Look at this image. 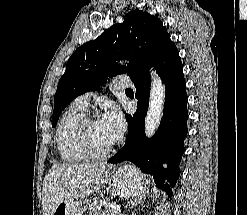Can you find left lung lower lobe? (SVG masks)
Instances as JSON below:
<instances>
[{
    "label": "left lung lower lobe",
    "instance_id": "1",
    "mask_svg": "<svg viewBox=\"0 0 247 215\" xmlns=\"http://www.w3.org/2000/svg\"><path fill=\"white\" fill-rule=\"evenodd\" d=\"M154 67L165 83L164 113L155 135L147 139L144 120L150 94L149 68ZM136 87L138 108L133 116L127 115L128 136L123 148L108 163L131 161L142 172L150 174L156 185L172 196L173 187L179 176L178 163L184 152L187 129V94L183 76V65L176 45L169 39L151 64L131 79ZM167 163L168 168L163 164ZM167 179L170 185L163 186Z\"/></svg>",
    "mask_w": 247,
    "mask_h": 215
}]
</instances>
